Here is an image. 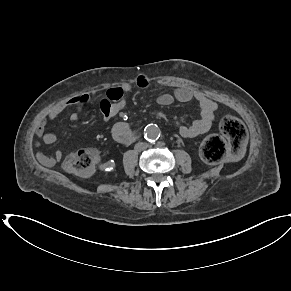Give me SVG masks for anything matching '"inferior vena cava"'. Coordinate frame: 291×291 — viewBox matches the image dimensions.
<instances>
[{"mask_svg": "<svg viewBox=\"0 0 291 291\" xmlns=\"http://www.w3.org/2000/svg\"><path fill=\"white\" fill-rule=\"evenodd\" d=\"M137 147H139V144H138V145H136V148H137Z\"/></svg>", "mask_w": 291, "mask_h": 291, "instance_id": "602c4592", "label": "inferior vena cava"}]
</instances>
